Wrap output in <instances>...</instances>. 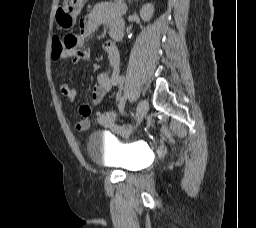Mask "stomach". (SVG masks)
I'll use <instances>...</instances> for the list:
<instances>
[{"label": "stomach", "mask_w": 256, "mask_h": 228, "mask_svg": "<svg viewBox=\"0 0 256 228\" xmlns=\"http://www.w3.org/2000/svg\"><path fill=\"white\" fill-rule=\"evenodd\" d=\"M86 0H64L63 6L55 13V22L61 29H71Z\"/></svg>", "instance_id": "stomach-1"}]
</instances>
